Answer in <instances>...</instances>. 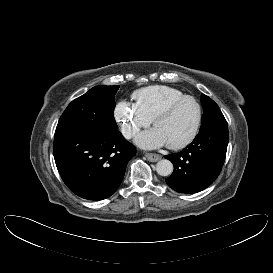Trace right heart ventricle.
I'll use <instances>...</instances> for the list:
<instances>
[{
    "label": "right heart ventricle",
    "instance_id": "right-heart-ventricle-1",
    "mask_svg": "<svg viewBox=\"0 0 273 273\" xmlns=\"http://www.w3.org/2000/svg\"><path fill=\"white\" fill-rule=\"evenodd\" d=\"M182 96L184 94L180 90L164 85L144 87L135 91L132 95L135 105L150 121L168 103Z\"/></svg>",
    "mask_w": 273,
    "mask_h": 273
}]
</instances>
